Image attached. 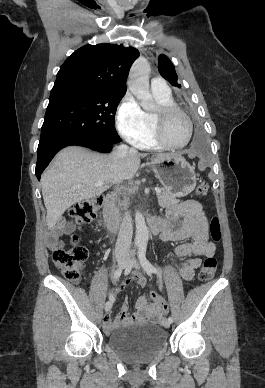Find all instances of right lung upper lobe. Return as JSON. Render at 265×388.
I'll return each mask as SVG.
<instances>
[{"label":"right lung upper lobe","instance_id":"right-lung-upper-lobe-1","mask_svg":"<svg viewBox=\"0 0 265 388\" xmlns=\"http://www.w3.org/2000/svg\"><path fill=\"white\" fill-rule=\"evenodd\" d=\"M139 51L123 45H85L61 66L51 93L74 90L126 92L128 71Z\"/></svg>","mask_w":265,"mask_h":388}]
</instances>
